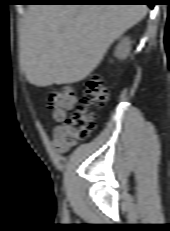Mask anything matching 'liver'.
Segmentation results:
<instances>
[{"label":"liver","instance_id":"obj_1","mask_svg":"<svg viewBox=\"0 0 170 231\" xmlns=\"http://www.w3.org/2000/svg\"><path fill=\"white\" fill-rule=\"evenodd\" d=\"M146 5H31L20 30V66L38 87L85 79Z\"/></svg>","mask_w":170,"mask_h":231}]
</instances>
